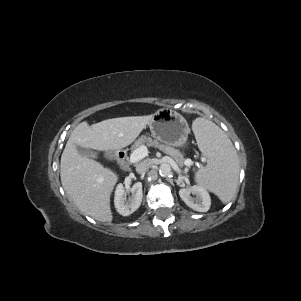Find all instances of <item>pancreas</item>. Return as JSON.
<instances>
[{
    "label": "pancreas",
    "mask_w": 301,
    "mask_h": 301,
    "mask_svg": "<svg viewBox=\"0 0 301 301\" xmlns=\"http://www.w3.org/2000/svg\"><path fill=\"white\" fill-rule=\"evenodd\" d=\"M142 145L158 148L161 151H163L164 153L171 155L172 158L180 166H182L184 164L185 159H184L183 155L179 152V150L175 149L174 147L159 143L157 140H153L151 137H146V136L139 137L135 141V143L132 145L131 150L134 151Z\"/></svg>",
    "instance_id": "obj_1"
}]
</instances>
